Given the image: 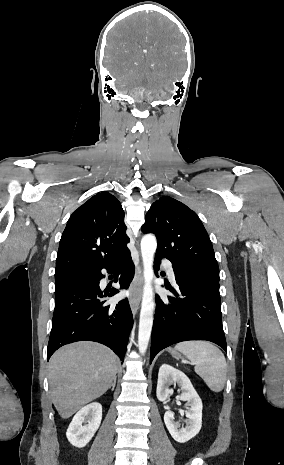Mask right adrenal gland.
<instances>
[{
	"label": "right adrenal gland",
	"mask_w": 284,
	"mask_h": 465,
	"mask_svg": "<svg viewBox=\"0 0 284 465\" xmlns=\"http://www.w3.org/2000/svg\"><path fill=\"white\" fill-rule=\"evenodd\" d=\"M116 379H117V377H116V375H115V377H114V379H113V383H111V387H112L111 391H114V389H115Z\"/></svg>",
	"instance_id": "2a0ac1e0"
}]
</instances>
